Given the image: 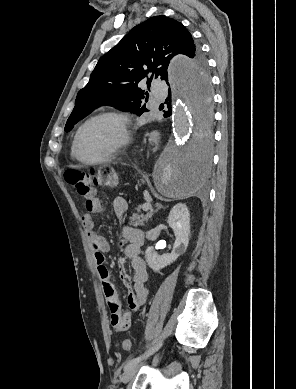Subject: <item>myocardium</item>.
Wrapping results in <instances>:
<instances>
[{
  "label": "myocardium",
  "instance_id": "f54148a6",
  "mask_svg": "<svg viewBox=\"0 0 296 389\" xmlns=\"http://www.w3.org/2000/svg\"><path fill=\"white\" fill-rule=\"evenodd\" d=\"M102 118H113L119 123L120 130H121L120 140L106 154H104L100 158L93 159V160L84 159L81 157L79 153V141H80L81 134L89 124ZM130 137H131L130 120L125 113L116 110L103 111L87 119L78 128L73 142V154L77 160H79L84 164H88V165L101 164L115 157L120 151H122L128 145L130 141Z\"/></svg>",
  "mask_w": 296,
  "mask_h": 389
}]
</instances>
